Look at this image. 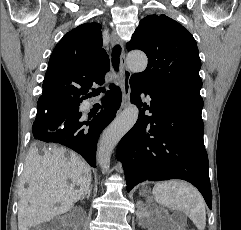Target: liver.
<instances>
[{"instance_id": "liver-1", "label": "liver", "mask_w": 241, "mask_h": 230, "mask_svg": "<svg viewBox=\"0 0 241 230\" xmlns=\"http://www.w3.org/2000/svg\"><path fill=\"white\" fill-rule=\"evenodd\" d=\"M91 180L90 168L74 152L57 146L31 147L21 176L18 230L69 211L87 193Z\"/></svg>"}]
</instances>
